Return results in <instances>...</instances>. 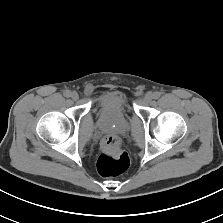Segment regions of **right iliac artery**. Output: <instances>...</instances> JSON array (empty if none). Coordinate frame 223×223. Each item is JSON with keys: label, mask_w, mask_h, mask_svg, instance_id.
I'll list each match as a JSON object with an SVG mask.
<instances>
[{"label": "right iliac artery", "mask_w": 223, "mask_h": 223, "mask_svg": "<svg viewBox=\"0 0 223 223\" xmlns=\"http://www.w3.org/2000/svg\"><path fill=\"white\" fill-rule=\"evenodd\" d=\"M64 96L67 97V98L70 97L71 96V92L69 90H66L64 92Z\"/></svg>", "instance_id": "1"}]
</instances>
